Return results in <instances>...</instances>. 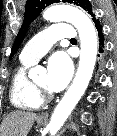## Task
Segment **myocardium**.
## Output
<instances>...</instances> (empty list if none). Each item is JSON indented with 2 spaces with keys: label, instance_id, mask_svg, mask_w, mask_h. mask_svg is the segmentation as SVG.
<instances>
[{
  "label": "myocardium",
  "instance_id": "f54148a6",
  "mask_svg": "<svg viewBox=\"0 0 117 136\" xmlns=\"http://www.w3.org/2000/svg\"><path fill=\"white\" fill-rule=\"evenodd\" d=\"M34 84H35V87H36V89L42 99L49 100L52 98V94L47 90V88L42 87V86L38 85L37 83H34Z\"/></svg>",
  "mask_w": 117,
  "mask_h": 136
}]
</instances>
